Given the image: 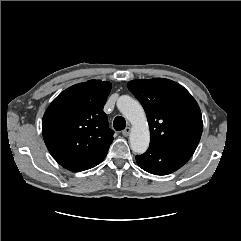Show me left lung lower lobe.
<instances>
[{"label":"left lung lower lobe","mask_w":241,"mask_h":241,"mask_svg":"<svg viewBox=\"0 0 241 241\" xmlns=\"http://www.w3.org/2000/svg\"><path fill=\"white\" fill-rule=\"evenodd\" d=\"M195 149L151 143L149 149L136 156L138 165L155 175H168L182 167L193 155Z\"/></svg>","instance_id":"left-lung-lower-lobe-1"}]
</instances>
